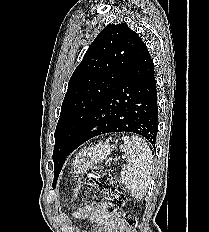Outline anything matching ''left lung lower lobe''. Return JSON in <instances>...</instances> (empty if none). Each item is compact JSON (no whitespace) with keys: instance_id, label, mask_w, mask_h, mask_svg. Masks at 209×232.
I'll list each match as a JSON object with an SVG mask.
<instances>
[{"instance_id":"left-lung-lower-lobe-1","label":"left lung lower lobe","mask_w":209,"mask_h":232,"mask_svg":"<svg viewBox=\"0 0 209 232\" xmlns=\"http://www.w3.org/2000/svg\"><path fill=\"white\" fill-rule=\"evenodd\" d=\"M110 132L139 134L155 148L158 133L156 80L153 61L142 40L127 73L75 134L70 153L91 138Z\"/></svg>"}]
</instances>
